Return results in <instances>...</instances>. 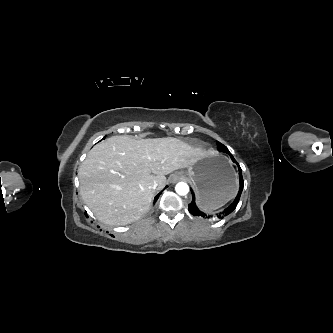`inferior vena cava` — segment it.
<instances>
[{"instance_id":"1","label":"inferior vena cava","mask_w":333,"mask_h":333,"mask_svg":"<svg viewBox=\"0 0 333 333\" xmlns=\"http://www.w3.org/2000/svg\"><path fill=\"white\" fill-rule=\"evenodd\" d=\"M157 187H158V184H157V183H154V184L151 185V188H152V189H157Z\"/></svg>"}]
</instances>
